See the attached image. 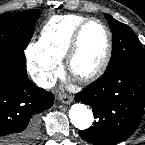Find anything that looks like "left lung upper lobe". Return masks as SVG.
<instances>
[{"label":"left lung upper lobe","instance_id":"obj_1","mask_svg":"<svg viewBox=\"0 0 145 145\" xmlns=\"http://www.w3.org/2000/svg\"><path fill=\"white\" fill-rule=\"evenodd\" d=\"M113 33V53L106 72L125 66H133L145 70V50L141 46L133 30L105 14Z\"/></svg>","mask_w":145,"mask_h":145}]
</instances>
